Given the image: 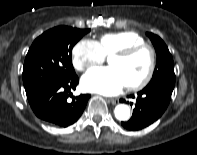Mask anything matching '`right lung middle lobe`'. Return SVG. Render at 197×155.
<instances>
[{"label":"right lung middle lobe","mask_w":197,"mask_h":155,"mask_svg":"<svg viewBox=\"0 0 197 155\" xmlns=\"http://www.w3.org/2000/svg\"><path fill=\"white\" fill-rule=\"evenodd\" d=\"M89 31L59 26L35 39L23 68V84L27 96L49 83L59 82L75 74L72 48Z\"/></svg>","instance_id":"1"}]
</instances>
